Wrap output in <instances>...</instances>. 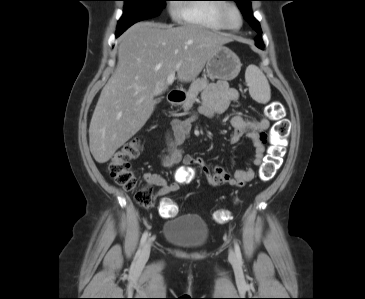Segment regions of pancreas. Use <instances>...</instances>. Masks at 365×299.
<instances>
[{"label": "pancreas", "mask_w": 365, "mask_h": 299, "mask_svg": "<svg viewBox=\"0 0 365 299\" xmlns=\"http://www.w3.org/2000/svg\"><path fill=\"white\" fill-rule=\"evenodd\" d=\"M207 86L208 80L205 77L194 80L187 92V98L183 104V108L185 110H189L193 106V103L195 102L198 94L203 91Z\"/></svg>", "instance_id": "cf45deb5"}]
</instances>
